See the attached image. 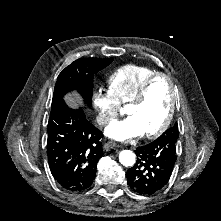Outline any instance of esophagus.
I'll return each instance as SVG.
<instances>
[{
    "label": "esophagus",
    "mask_w": 221,
    "mask_h": 221,
    "mask_svg": "<svg viewBox=\"0 0 221 221\" xmlns=\"http://www.w3.org/2000/svg\"><path fill=\"white\" fill-rule=\"evenodd\" d=\"M103 147H104V149H108V148L120 147V145H118L117 143H115L113 141H107L104 143Z\"/></svg>",
    "instance_id": "obj_1"
}]
</instances>
